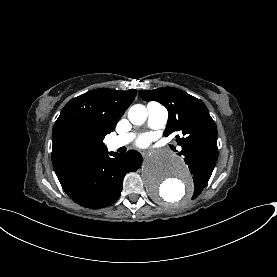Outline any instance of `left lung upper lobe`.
Returning a JSON list of instances; mask_svg holds the SVG:
<instances>
[{
    "mask_svg": "<svg viewBox=\"0 0 277 277\" xmlns=\"http://www.w3.org/2000/svg\"><path fill=\"white\" fill-rule=\"evenodd\" d=\"M146 101H158L169 112L165 136L180 132L177 144L182 148L196 146L205 142L217 143V128L205 104L188 93L173 87L139 91ZM212 172L193 174L194 195L196 198L206 186Z\"/></svg>",
    "mask_w": 277,
    "mask_h": 277,
    "instance_id": "obj_1",
    "label": "left lung upper lobe"
}]
</instances>
